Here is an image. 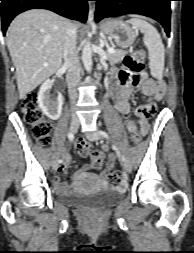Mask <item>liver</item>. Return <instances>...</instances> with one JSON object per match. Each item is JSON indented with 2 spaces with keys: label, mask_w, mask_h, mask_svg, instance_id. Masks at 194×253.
Masks as SVG:
<instances>
[{
  "label": "liver",
  "mask_w": 194,
  "mask_h": 253,
  "mask_svg": "<svg viewBox=\"0 0 194 253\" xmlns=\"http://www.w3.org/2000/svg\"><path fill=\"white\" fill-rule=\"evenodd\" d=\"M67 23L44 9L26 11L11 22L6 43L16 68L20 99L61 67Z\"/></svg>",
  "instance_id": "liver-1"
}]
</instances>
